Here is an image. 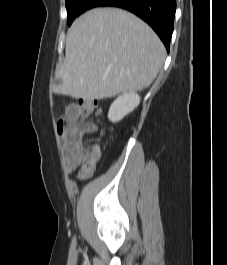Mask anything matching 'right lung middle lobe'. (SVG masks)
I'll return each instance as SVG.
<instances>
[{"label": "right lung middle lobe", "mask_w": 227, "mask_h": 265, "mask_svg": "<svg viewBox=\"0 0 227 265\" xmlns=\"http://www.w3.org/2000/svg\"><path fill=\"white\" fill-rule=\"evenodd\" d=\"M95 0H66V9L68 13V25L81 13L90 9Z\"/></svg>", "instance_id": "dd1d6c3e"}]
</instances>
